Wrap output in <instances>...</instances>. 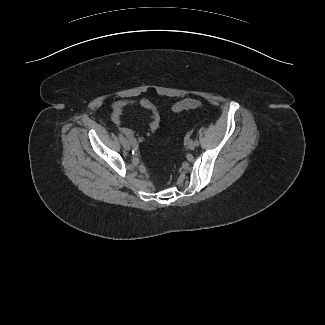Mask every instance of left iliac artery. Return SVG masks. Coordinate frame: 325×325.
I'll use <instances>...</instances> for the list:
<instances>
[{
  "instance_id": "44dca946",
  "label": "left iliac artery",
  "mask_w": 325,
  "mask_h": 325,
  "mask_svg": "<svg viewBox=\"0 0 325 325\" xmlns=\"http://www.w3.org/2000/svg\"><path fill=\"white\" fill-rule=\"evenodd\" d=\"M195 145H196V146H198V145H199V142H198L197 140L195 141Z\"/></svg>"
}]
</instances>
